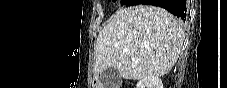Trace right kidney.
<instances>
[{
  "label": "right kidney",
  "mask_w": 227,
  "mask_h": 88,
  "mask_svg": "<svg viewBox=\"0 0 227 88\" xmlns=\"http://www.w3.org/2000/svg\"><path fill=\"white\" fill-rule=\"evenodd\" d=\"M137 88H163L161 79L157 76L146 77L137 82Z\"/></svg>",
  "instance_id": "right-kidney-1"
}]
</instances>
